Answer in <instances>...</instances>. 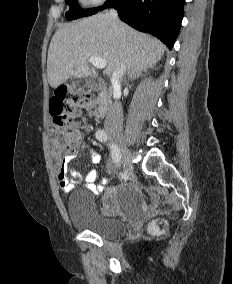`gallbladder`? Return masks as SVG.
Returning <instances> with one entry per match:
<instances>
[{"label":"gallbladder","instance_id":"obj_1","mask_svg":"<svg viewBox=\"0 0 233 284\" xmlns=\"http://www.w3.org/2000/svg\"><path fill=\"white\" fill-rule=\"evenodd\" d=\"M84 88H87L90 91H100L101 85L99 84L98 80L94 76H91L85 81V84L80 89V91H83Z\"/></svg>","mask_w":233,"mask_h":284}]
</instances>
